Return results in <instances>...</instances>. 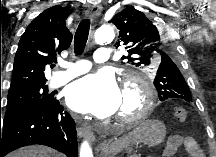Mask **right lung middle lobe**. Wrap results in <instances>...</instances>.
Here are the masks:
<instances>
[{"label":"right lung middle lobe","mask_w":216,"mask_h":157,"mask_svg":"<svg viewBox=\"0 0 216 157\" xmlns=\"http://www.w3.org/2000/svg\"><path fill=\"white\" fill-rule=\"evenodd\" d=\"M55 99L48 94L47 85L32 86L9 92L5 118L14 117L21 113L52 106ZM1 121V106H0Z\"/></svg>","instance_id":"obj_1"}]
</instances>
